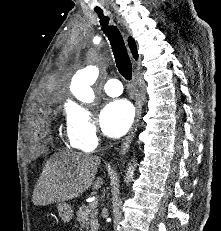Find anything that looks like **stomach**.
<instances>
[{
	"label": "stomach",
	"instance_id": "stomach-1",
	"mask_svg": "<svg viewBox=\"0 0 221 231\" xmlns=\"http://www.w3.org/2000/svg\"><path fill=\"white\" fill-rule=\"evenodd\" d=\"M57 210L59 213L60 218L64 222H70L73 218V208L70 204L65 202H58L57 203Z\"/></svg>",
	"mask_w": 221,
	"mask_h": 231
}]
</instances>
